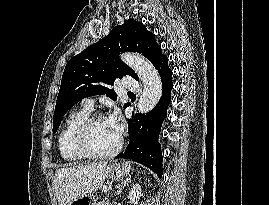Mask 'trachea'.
Wrapping results in <instances>:
<instances>
[{
	"label": "trachea",
	"mask_w": 269,
	"mask_h": 205,
	"mask_svg": "<svg viewBox=\"0 0 269 205\" xmlns=\"http://www.w3.org/2000/svg\"><path fill=\"white\" fill-rule=\"evenodd\" d=\"M127 94H132L133 95L134 93L133 92H128Z\"/></svg>",
	"instance_id": "3493384b"
}]
</instances>
